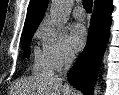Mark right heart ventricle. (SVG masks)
<instances>
[{"label": "right heart ventricle", "mask_w": 119, "mask_h": 95, "mask_svg": "<svg viewBox=\"0 0 119 95\" xmlns=\"http://www.w3.org/2000/svg\"><path fill=\"white\" fill-rule=\"evenodd\" d=\"M52 70L53 68L50 65L44 49L36 47L34 49L32 71L40 75H50L52 73Z\"/></svg>", "instance_id": "e07e8e85"}]
</instances>
